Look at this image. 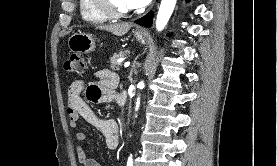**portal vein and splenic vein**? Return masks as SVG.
Here are the masks:
<instances>
[{"label":"portal vein and splenic vein","instance_id":"1","mask_svg":"<svg viewBox=\"0 0 277 166\" xmlns=\"http://www.w3.org/2000/svg\"><path fill=\"white\" fill-rule=\"evenodd\" d=\"M129 65H130V62H125L124 67L127 68L129 67Z\"/></svg>","mask_w":277,"mask_h":166}]
</instances>
